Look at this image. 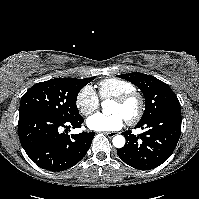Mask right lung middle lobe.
<instances>
[{"mask_svg":"<svg viewBox=\"0 0 199 199\" xmlns=\"http://www.w3.org/2000/svg\"><path fill=\"white\" fill-rule=\"evenodd\" d=\"M96 77L56 78L33 85L21 98L20 114L39 112L63 120L80 116L76 106L79 91Z\"/></svg>","mask_w":199,"mask_h":199,"instance_id":"obj_1","label":"right lung middle lobe"}]
</instances>
